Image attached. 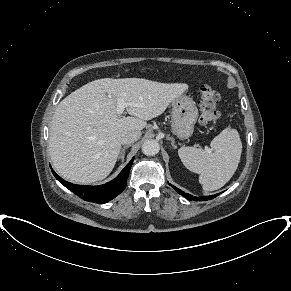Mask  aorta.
Here are the masks:
<instances>
[{
	"label": "aorta",
	"mask_w": 291,
	"mask_h": 291,
	"mask_svg": "<svg viewBox=\"0 0 291 291\" xmlns=\"http://www.w3.org/2000/svg\"><path fill=\"white\" fill-rule=\"evenodd\" d=\"M159 150L160 146L156 140H146L142 145V152L147 156L156 155Z\"/></svg>",
	"instance_id": "1"
}]
</instances>
